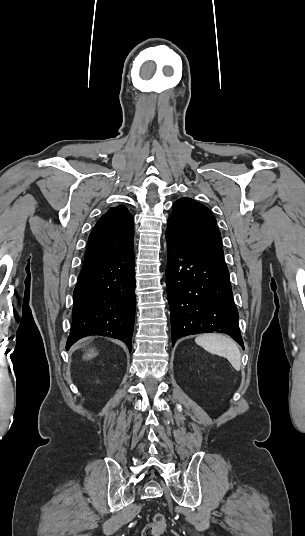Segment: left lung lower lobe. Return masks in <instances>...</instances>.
I'll list each match as a JSON object with an SVG mask.
<instances>
[{
  "mask_svg": "<svg viewBox=\"0 0 305 536\" xmlns=\"http://www.w3.org/2000/svg\"><path fill=\"white\" fill-rule=\"evenodd\" d=\"M166 239L172 344L183 336L215 331L228 334L244 349L224 258L194 252Z\"/></svg>",
  "mask_w": 305,
  "mask_h": 536,
  "instance_id": "obj_1",
  "label": "left lung lower lobe"
}]
</instances>
